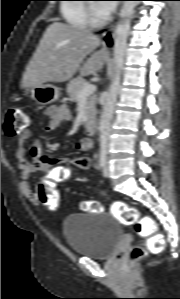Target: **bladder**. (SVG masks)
Masks as SVG:
<instances>
[{
    "label": "bladder",
    "mask_w": 180,
    "mask_h": 299,
    "mask_svg": "<svg viewBox=\"0 0 180 299\" xmlns=\"http://www.w3.org/2000/svg\"><path fill=\"white\" fill-rule=\"evenodd\" d=\"M61 229L75 254L93 259L111 257L122 238L119 223L107 212L71 214L63 220Z\"/></svg>",
    "instance_id": "obj_1"
}]
</instances>
